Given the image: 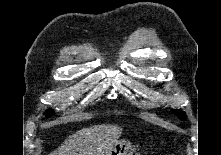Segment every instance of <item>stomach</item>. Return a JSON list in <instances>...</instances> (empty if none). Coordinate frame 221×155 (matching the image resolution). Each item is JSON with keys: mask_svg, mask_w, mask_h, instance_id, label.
<instances>
[{"mask_svg": "<svg viewBox=\"0 0 221 155\" xmlns=\"http://www.w3.org/2000/svg\"><path fill=\"white\" fill-rule=\"evenodd\" d=\"M134 152L135 146H133L129 141L120 140L115 144L109 155H134Z\"/></svg>", "mask_w": 221, "mask_h": 155, "instance_id": "stomach-1", "label": "stomach"}]
</instances>
